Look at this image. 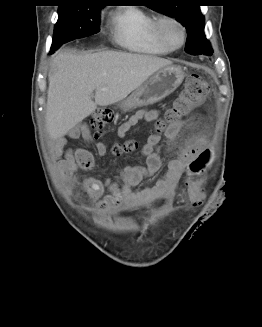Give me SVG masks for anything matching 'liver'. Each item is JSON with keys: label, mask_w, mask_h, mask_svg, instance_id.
Wrapping results in <instances>:
<instances>
[{"label": "liver", "mask_w": 262, "mask_h": 327, "mask_svg": "<svg viewBox=\"0 0 262 327\" xmlns=\"http://www.w3.org/2000/svg\"><path fill=\"white\" fill-rule=\"evenodd\" d=\"M171 64L160 57L125 52L78 55L58 51L52 57L48 75L47 132L52 139L64 136L97 106L125 99L151 75Z\"/></svg>", "instance_id": "1"}]
</instances>
